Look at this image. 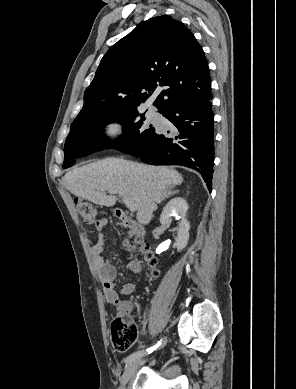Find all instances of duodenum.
Wrapping results in <instances>:
<instances>
[{"instance_id": "1", "label": "duodenum", "mask_w": 296, "mask_h": 389, "mask_svg": "<svg viewBox=\"0 0 296 389\" xmlns=\"http://www.w3.org/2000/svg\"><path fill=\"white\" fill-rule=\"evenodd\" d=\"M117 217L121 220L122 224L127 227L136 236H143L145 231L144 228L136 221L129 218L124 212L118 210Z\"/></svg>"}]
</instances>
